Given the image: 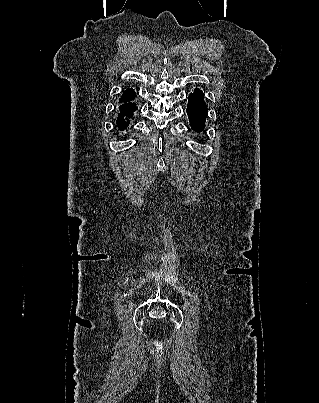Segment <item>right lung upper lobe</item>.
Instances as JSON below:
<instances>
[{"label": "right lung upper lobe", "mask_w": 319, "mask_h": 403, "mask_svg": "<svg viewBox=\"0 0 319 403\" xmlns=\"http://www.w3.org/2000/svg\"><path fill=\"white\" fill-rule=\"evenodd\" d=\"M133 94H135V93H134V90L127 88V89L123 92V95L121 96V99H120L119 102H122V101L127 100L128 98L132 97Z\"/></svg>", "instance_id": "cb5924a9"}]
</instances>
